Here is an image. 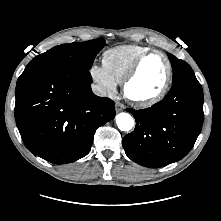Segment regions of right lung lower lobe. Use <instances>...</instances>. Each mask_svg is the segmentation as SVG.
Wrapping results in <instances>:
<instances>
[{
    "instance_id": "1",
    "label": "right lung lower lobe",
    "mask_w": 221,
    "mask_h": 221,
    "mask_svg": "<svg viewBox=\"0 0 221 221\" xmlns=\"http://www.w3.org/2000/svg\"><path fill=\"white\" fill-rule=\"evenodd\" d=\"M89 70L27 65L16 85L15 119L28 150L55 164L90 151L95 131L115 117L114 102L93 94Z\"/></svg>"
}]
</instances>
